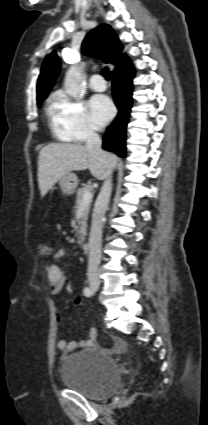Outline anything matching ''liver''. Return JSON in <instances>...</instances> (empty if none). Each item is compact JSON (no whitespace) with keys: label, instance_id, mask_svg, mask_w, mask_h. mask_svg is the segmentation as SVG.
I'll use <instances>...</instances> for the list:
<instances>
[{"label":"liver","instance_id":"obj_1","mask_svg":"<svg viewBox=\"0 0 208 425\" xmlns=\"http://www.w3.org/2000/svg\"><path fill=\"white\" fill-rule=\"evenodd\" d=\"M108 159H102L86 146L69 143H50L44 146L38 157V184L41 197L71 171L89 169L92 176L103 180L109 165L116 164L117 157L108 153Z\"/></svg>","mask_w":208,"mask_h":425}]
</instances>
